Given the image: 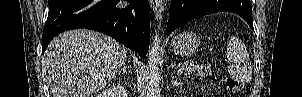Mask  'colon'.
<instances>
[{
    "instance_id": "obj_1",
    "label": "colon",
    "mask_w": 302,
    "mask_h": 97,
    "mask_svg": "<svg viewBox=\"0 0 302 97\" xmlns=\"http://www.w3.org/2000/svg\"><path fill=\"white\" fill-rule=\"evenodd\" d=\"M199 74L204 77L210 76L212 74V65L209 62H203L199 66ZM226 86L229 90L233 91L240 90L242 88V84L233 78L227 79Z\"/></svg>"
}]
</instances>
